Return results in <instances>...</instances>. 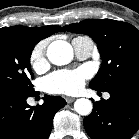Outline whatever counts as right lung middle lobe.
I'll return each instance as SVG.
<instances>
[{
	"label": "right lung middle lobe",
	"instance_id": "obj_1",
	"mask_svg": "<svg viewBox=\"0 0 139 139\" xmlns=\"http://www.w3.org/2000/svg\"><path fill=\"white\" fill-rule=\"evenodd\" d=\"M39 41L12 32H0V90L34 94L30 56Z\"/></svg>",
	"mask_w": 139,
	"mask_h": 139
}]
</instances>
